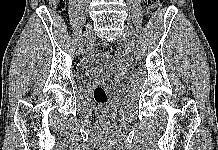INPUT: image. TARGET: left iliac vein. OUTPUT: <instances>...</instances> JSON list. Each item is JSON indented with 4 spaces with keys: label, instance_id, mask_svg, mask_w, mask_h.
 <instances>
[{
    "label": "left iliac vein",
    "instance_id": "1",
    "mask_svg": "<svg viewBox=\"0 0 218 150\" xmlns=\"http://www.w3.org/2000/svg\"><path fill=\"white\" fill-rule=\"evenodd\" d=\"M123 41L127 44L128 47L131 46L130 34H129V31H128V30L125 31V34H124V36H123Z\"/></svg>",
    "mask_w": 218,
    "mask_h": 150
}]
</instances>
